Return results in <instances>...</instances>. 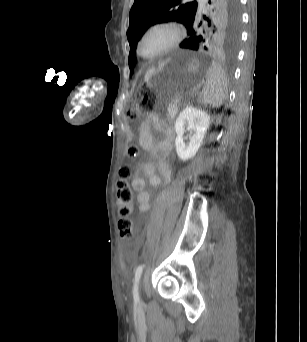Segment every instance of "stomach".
I'll return each mask as SVG.
<instances>
[{"label":"stomach","instance_id":"stomach-1","mask_svg":"<svg viewBox=\"0 0 307 342\" xmlns=\"http://www.w3.org/2000/svg\"><path fill=\"white\" fill-rule=\"evenodd\" d=\"M167 69H160L155 72L149 79H147V84L150 88H156L159 85L160 80L166 75Z\"/></svg>","mask_w":307,"mask_h":342}]
</instances>
